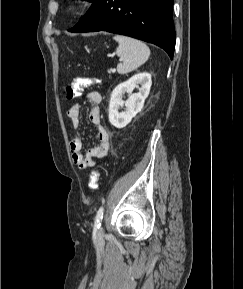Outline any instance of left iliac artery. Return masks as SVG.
Wrapping results in <instances>:
<instances>
[{
  "instance_id": "obj_1",
  "label": "left iliac artery",
  "mask_w": 243,
  "mask_h": 289,
  "mask_svg": "<svg viewBox=\"0 0 243 289\" xmlns=\"http://www.w3.org/2000/svg\"><path fill=\"white\" fill-rule=\"evenodd\" d=\"M104 207L101 206L96 214L95 217V228L99 229L101 227V221L103 219Z\"/></svg>"
}]
</instances>
